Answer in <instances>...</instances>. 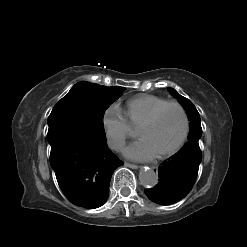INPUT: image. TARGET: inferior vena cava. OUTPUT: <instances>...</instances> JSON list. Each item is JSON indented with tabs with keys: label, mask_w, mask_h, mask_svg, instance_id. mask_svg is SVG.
Instances as JSON below:
<instances>
[{
	"label": "inferior vena cava",
	"mask_w": 247,
	"mask_h": 247,
	"mask_svg": "<svg viewBox=\"0 0 247 247\" xmlns=\"http://www.w3.org/2000/svg\"><path fill=\"white\" fill-rule=\"evenodd\" d=\"M109 146L112 149L121 150L124 146V143L121 141H111V142H109Z\"/></svg>",
	"instance_id": "1"
}]
</instances>
